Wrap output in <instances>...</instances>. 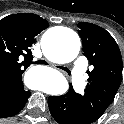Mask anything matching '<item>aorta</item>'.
<instances>
[{
	"mask_svg": "<svg viewBox=\"0 0 124 124\" xmlns=\"http://www.w3.org/2000/svg\"><path fill=\"white\" fill-rule=\"evenodd\" d=\"M45 55L52 61L68 63L76 58L80 50L79 36L71 29L60 28L54 36L46 34L42 40ZM29 87L35 90H44L46 87L40 76H35L29 81ZM56 93H63L68 89V83L59 78L58 86L54 88Z\"/></svg>",
	"mask_w": 124,
	"mask_h": 124,
	"instance_id": "1",
	"label": "aorta"
}]
</instances>
